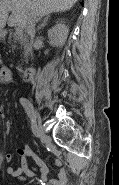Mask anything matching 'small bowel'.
<instances>
[{
    "instance_id": "1",
    "label": "small bowel",
    "mask_w": 119,
    "mask_h": 185,
    "mask_svg": "<svg viewBox=\"0 0 119 185\" xmlns=\"http://www.w3.org/2000/svg\"><path fill=\"white\" fill-rule=\"evenodd\" d=\"M13 81V76L11 70L7 66H2L0 69V82L3 84H8ZM11 122L6 120L3 123V133L4 135H9L11 132ZM17 154L21 157L20 166L13 167L10 163L12 161V154L6 153L4 155V161L6 163V173L10 176L18 178L20 180H27L36 177L38 174L41 175L43 182H48L49 185H66L68 180V175L65 168L62 166V161L58 159L55 165L59 167V171L55 176L48 179L49 167L46 163L36 155L28 145H23L16 150ZM31 157L36 166H32L28 158Z\"/></svg>"
}]
</instances>
